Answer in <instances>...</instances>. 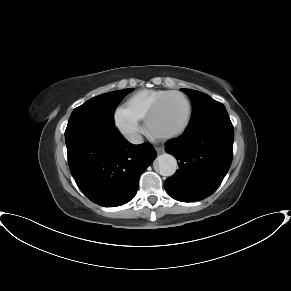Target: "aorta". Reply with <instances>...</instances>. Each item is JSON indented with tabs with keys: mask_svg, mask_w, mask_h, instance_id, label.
Instances as JSON below:
<instances>
[{
	"mask_svg": "<svg viewBox=\"0 0 291 291\" xmlns=\"http://www.w3.org/2000/svg\"><path fill=\"white\" fill-rule=\"evenodd\" d=\"M159 172L162 176H173L177 170V160L170 154H162L157 157Z\"/></svg>",
	"mask_w": 291,
	"mask_h": 291,
	"instance_id": "762f6f07",
	"label": "aorta"
}]
</instances>
